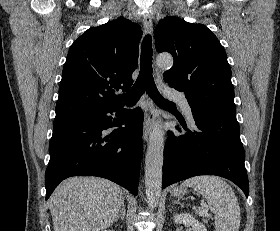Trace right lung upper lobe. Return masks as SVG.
<instances>
[{"instance_id":"right-lung-upper-lobe-1","label":"right lung upper lobe","mask_w":280,"mask_h":231,"mask_svg":"<svg viewBox=\"0 0 280 231\" xmlns=\"http://www.w3.org/2000/svg\"><path fill=\"white\" fill-rule=\"evenodd\" d=\"M138 24L119 17L89 28L71 45L62 72L55 121L122 105L114 89L128 90L137 68Z\"/></svg>"}]
</instances>
